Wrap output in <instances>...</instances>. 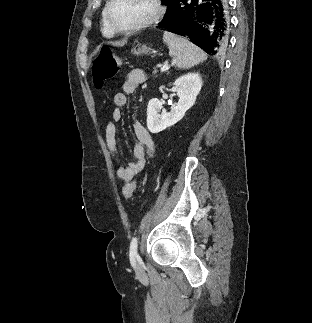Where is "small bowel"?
I'll use <instances>...</instances> for the list:
<instances>
[{
	"instance_id": "c3829d8e",
	"label": "small bowel",
	"mask_w": 312,
	"mask_h": 323,
	"mask_svg": "<svg viewBox=\"0 0 312 323\" xmlns=\"http://www.w3.org/2000/svg\"><path fill=\"white\" fill-rule=\"evenodd\" d=\"M146 75L141 69H132L122 85V90L115 93L113 102L115 108L111 111L110 120L105 127V144L109 154L115 158L118 152L117 125L123 118L121 108L127 103V95L133 93L136 88L146 82ZM136 143L133 147L134 161L128 164L118 163L116 175L124 183L131 182L133 178L143 171L146 166V153H153V141L148 131L141 123L136 121L133 125Z\"/></svg>"
}]
</instances>
